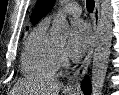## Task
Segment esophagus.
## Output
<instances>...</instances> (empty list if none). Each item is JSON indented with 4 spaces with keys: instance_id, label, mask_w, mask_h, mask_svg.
Masks as SVG:
<instances>
[{
    "instance_id": "34e87169",
    "label": "esophagus",
    "mask_w": 119,
    "mask_h": 95,
    "mask_svg": "<svg viewBox=\"0 0 119 95\" xmlns=\"http://www.w3.org/2000/svg\"><path fill=\"white\" fill-rule=\"evenodd\" d=\"M92 20H93V40L91 42L90 48L83 62L78 67V69L73 73V75L68 79L66 88L71 89V90L80 89L81 81L85 77L88 71L89 65L91 63L92 55H93L94 48H95L96 41H97L99 24H100V2L99 0H95V7L93 11Z\"/></svg>"
}]
</instances>
